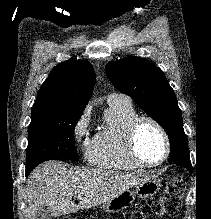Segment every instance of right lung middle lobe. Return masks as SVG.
<instances>
[{
    "mask_svg": "<svg viewBox=\"0 0 211 219\" xmlns=\"http://www.w3.org/2000/svg\"><path fill=\"white\" fill-rule=\"evenodd\" d=\"M81 114L57 113L48 106H33L26 150L27 175L46 160H79L75 148L74 127Z\"/></svg>",
    "mask_w": 211,
    "mask_h": 219,
    "instance_id": "right-lung-middle-lobe-1",
    "label": "right lung middle lobe"
}]
</instances>
